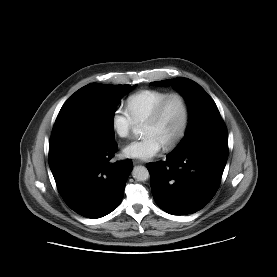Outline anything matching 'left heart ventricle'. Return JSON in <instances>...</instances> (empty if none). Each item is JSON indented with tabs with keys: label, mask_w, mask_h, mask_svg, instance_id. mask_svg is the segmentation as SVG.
I'll use <instances>...</instances> for the list:
<instances>
[{
	"label": "left heart ventricle",
	"mask_w": 277,
	"mask_h": 277,
	"mask_svg": "<svg viewBox=\"0 0 277 277\" xmlns=\"http://www.w3.org/2000/svg\"><path fill=\"white\" fill-rule=\"evenodd\" d=\"M184 117V110L178 98L170 99L160 120L155 124H144L143 134H152L164 145L169 143L179 132Z\"/></svg>",
	"instance_id": "obj_1"
}]
</instances>
